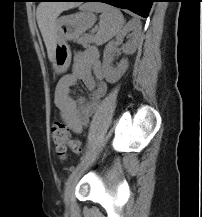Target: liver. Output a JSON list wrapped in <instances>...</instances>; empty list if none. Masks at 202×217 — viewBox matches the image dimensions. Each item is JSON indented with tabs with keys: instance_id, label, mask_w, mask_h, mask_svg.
Masks as SVG:
<instances>
[{
	"instance_id": "1",
	"label": "liver",
	"mask_w": 202,
	"mask_h": 217,
	"mask_svg": "<svg viewBox=\"0 0 202 217\" xmlns=\"http://www.w3.org/2000/svg\"><path fill=\"white\" fill-rule=\"evenodd\" d=\"M76 6H78L77 3L41 2L37 7V23L47 48L48 58L51 62L54 61L57 17L61 12Z\"/></svg>"
}]
</instances>
